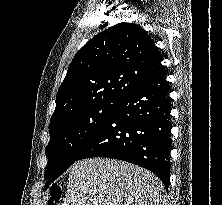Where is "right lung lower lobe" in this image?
<instances>
[{"mask_svg":"<svg viewBox=\"0 0 222 205\" xmlns=\"http://www.w3.org/2000/svg\"><path fill=\"white\" fill-rule=\"evenodd\" d=\"M170 129L169 87L163 71L120 101L77 160L92 157L124 160L152 171L168 187Z\"/></svg>","mask_w":222,"mask_h":205,"instance_id":"98d812e1","label":"right lung lower lobe"}]
</instances>
